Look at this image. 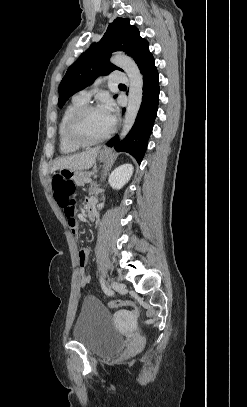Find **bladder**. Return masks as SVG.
<instances>
[{
    "label": "bladder",
    "mask_w": 247,
    "mask_h": 407,
    "mask_svg": "<svg viewBox=\"0 0 247 407\" xmlns=\"http://www.w3.org/2000/svg\"><path fill=\"white\" fill-rule=\"evenodd\" d=\"M74 341L98 356L116 354L125 337L112 322V314L95 297L87 296L73 329Z\"/></svg>",
    "instance_id": "1"
}]
</instances>
